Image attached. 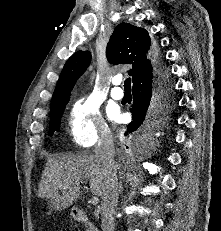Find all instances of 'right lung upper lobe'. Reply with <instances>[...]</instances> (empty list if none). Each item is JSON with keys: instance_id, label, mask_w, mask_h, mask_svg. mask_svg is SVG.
<instances>
[{"instance_id": "1", "label": "right lung upper lobe", "mask_w": 221, "mask_h": 231, "mask_svg": "<svg viewBox=\"0 0 221 231\" xmlns=\"http://www.w3.org/2000/svg\"><path fill=\"white\" fill-rule=\"evenodd\" d=\"M107 59L112 64H132L133 89L151 82L157 72L156 58L147 30L128 23L119 24L107 45ZM91 61L89 51L74 53L65 63L56 85L51 110L69 100L70 92L77 79L84 73Z\"/></svg>"}]
</instances>
